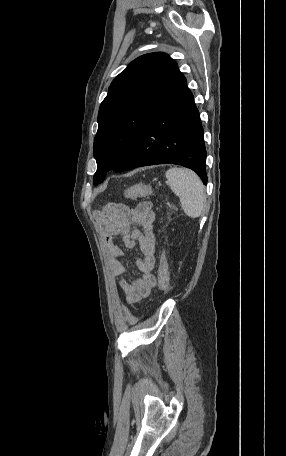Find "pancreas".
Returning <instances> with one entry per match:
<instances>
[{"label":"pancreas","mask_w":286,"mask_h":456,"mask_svg":"<svg viewBox=\"0 0 286 456\" xmlns=\"http://www.w3.org/2000/svg\"><path fill=\"white\" fill-rule=\"evenodd\" d=\"M168 206H169L170 208H172V207L174 208V206H172V205H168Z\"/></svg>","instance_id":"cf45deb5"}]
</instances>
